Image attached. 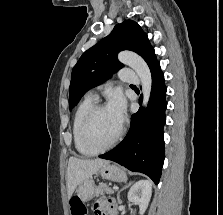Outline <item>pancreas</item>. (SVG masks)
Returning <instances> with one entry per match:
<instances>
[{
  "label": "pancreas",
  "mask_w": 223,
  "mask_h": 215,
  "mask_svg": "<svg viewBox=\"0 0 223 215\" xmlns=\"http://www.w3.org/2000/svg\"><path fill=\"white\" fill-rule=\"evenodd\" d=\"M99 190L97 191L96 197L98 195H105V193H113V189H110L109 185L99 183Z\"/></svg>",
  "instance_id": "obj_1"
}]
</instances>
